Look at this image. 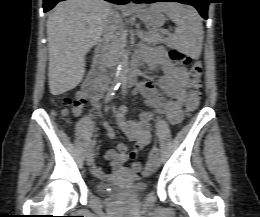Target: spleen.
I'll use <instances>...</instances> for the list:
<instances>
[{"mask_svg":"<svg viewBox=\"0 0 260 217\" xmlns=\"http://www.w3.org/2000/svg\"><path fill=\"white\" fill-rule=\"evenodd\" d=\"M152 7L163 12L176 25L173 35L166 38L169 47L198 56L203 42V25L197 12L180 3H158Z\"/></svg>","mask_w":260,"mask_h":217,"instance_id":"1","label":"spleen"}]
</instances>
